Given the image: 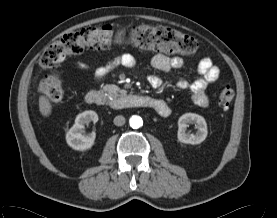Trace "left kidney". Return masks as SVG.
Wrapping results in <instances>:
<instances>
[{
  "mask_svg": "<svg viewBox=\"0 0 277 218\" xmlns=\"http://www.w3.org/2000/svg\"><path fill=\"white\" fill-rule=\"evenodd\" d=\"M190 123H195L198 131L195 134L187 132V127ZM207 123L204 117L195 113H185L178 120L177 138L180 142L185 144H199L207 137Z\"/></svg>",
  "mask_w": 277,
  "mask_h": 218,
  "instance_id": "obj_1",
  "label": "left kidney"
}]
</instances>
